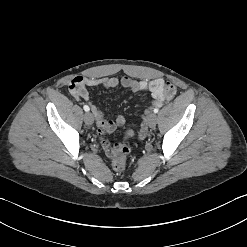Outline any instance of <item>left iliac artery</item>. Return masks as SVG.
Instances as JSON below:
<instances>
[{"instance_id": "1", "label": "left iliac artery", "mask_w": 247, "mask_h": 247, "mask_svg": "<svg viewBox=\"0 0 247 247\" xmlns=\"http://www.w3.org/2000/svg\"><path fill=\"white\" fill-rule=\"evenodd\" d=\"M159 109L158 108H155L154 109V113H158Z\"/></svg>"}]
</instances>
